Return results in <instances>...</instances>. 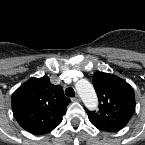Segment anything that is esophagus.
Wrapping results in <instances>:
<instances>
[{
    "label": "esophagus",
    "mask_w": 145,
    "mask_h": 145,
    "mask_svg": "<svg viewBox=\"0 0 145 145\" xmlns=\"http://www.w3.org/2000/svg\"><path fill=\"white\" fill-rule=\"evenodd\" d=\"M72 101H74V102H80L81 98H80L79 95H76L74 98H72Z\"/></svg>",
    "instance_id": "1"
}]
</instances>
